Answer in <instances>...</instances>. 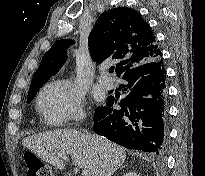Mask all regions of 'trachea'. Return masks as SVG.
I'll return each mask as SVG.
<instances>
[{"label": "trachea", "mask_w": 205, "mask_h": 176, "mask_svg": "<svg viewBox=\"0 0 205 176\" xmlns=\"http://www.w3.org/2000/svg\"><path fill=\"white\" fill-rule=\"evenodd\" d=\"M109 72H110V73H113V72H114V67H111V68L109 69Z\"/></svg>", "instance_id": "3493384b"}]
</instances>
